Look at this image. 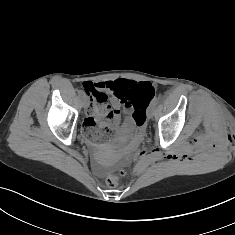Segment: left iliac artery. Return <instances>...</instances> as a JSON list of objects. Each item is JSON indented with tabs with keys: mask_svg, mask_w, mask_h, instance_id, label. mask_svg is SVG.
<instances>
[{
	"mask_svg": "<svg viewBox=\"0 0 235 235\" xmlns=\"http://www.w3.org/2000/svg\"><path fill=\"white\" fill-rule=\"evenodd\" d=\"M157 103V99H155L154 101H153V104H156Z\"/></svg>",
	"mask_w": 235,
	"mask_h": 235,
	"instance_id": "obj_1",
	"label": "left iliac artery"
}]
</instances>
